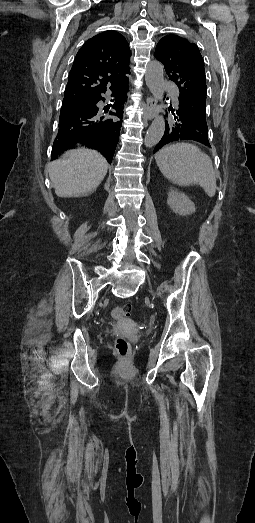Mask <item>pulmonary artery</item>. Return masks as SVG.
Masks as SVG:
<instances>
[{
  "mask_svg": "<svg viewBox=\"0 0 255 523\" xmlns=\"http://www.w3.org/2000/svg\"><path fill=\"white\" fill-rule=\"evenodd\" d=\"M164 84H165V88L167 90V94L169 95V99H170L169 105H170V107L173 108V109L178 108L179 105H180V102L178 100L179 90H178L177 83L174 81V79L169 78V79H166L164 81Z\"/></svg>",
  "mask_w": 255,
  "mask_h": 523,
  "instance_id": "obj_1",
  "label": "pulmonary artery"
}]
</instances>
